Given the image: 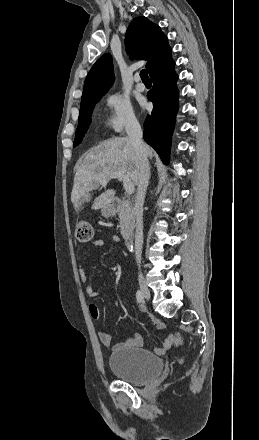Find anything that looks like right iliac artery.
Masks as SVG:
<instances>
[{"label": "right iliac artery", "instance_id": "82829eb1", "mask_svg": "<svg viewBox=\"0 0 259 440\" xmlns=\"http://www.w3.org/2000/svg\"><path fill=\"white\" fill-rule=\"evenodd\" d=\"M136 299L138 303H141L143 301V295L140 290H138L136 293Z\"/></svg>", "mask_w": 259, "mask_h": 440}]
</instances>
